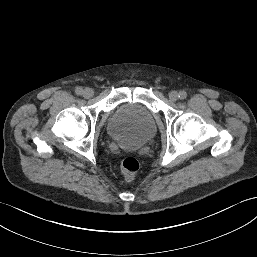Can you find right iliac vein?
<instances>
[{
  "instance_id": "1",
  "label": "right iliac vein",
  "mask_w": 257,
  "mask_h": 257,
  "mask_svg": "<svg viewBox=\"0 0 257 257\" xmlns=\"http://www.w3.org/2000/svg\"><path fill=\"white\" fill-rule=\"evenodd\" d=\"M94 94L93 90L91 88H85L83 91V95L85 98H90Z\"/></svg>"
}]
</instances>
